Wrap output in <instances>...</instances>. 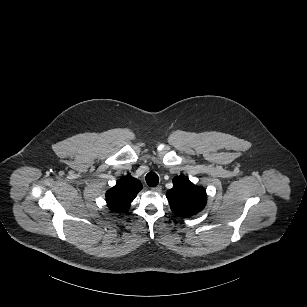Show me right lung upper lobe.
<instances>
[{
    "label": "right lung upper lobe",
    "mask_w": 307,
    "mask_h": 307,
    "mask_svg": "<svg viewBox=\"0 0 307 307\" xmlns=\"http://www.w3.org/2000/svg\"><path fill=\"white\" fill-rule=\"evenodd\" d=\"M141 189L140 181L132 176L127 175L121 178L116 186L106 193L108 207L115 212L127 211Z\"/></svg>",
    "instance_id": "obj_1"
}]
</instances>
